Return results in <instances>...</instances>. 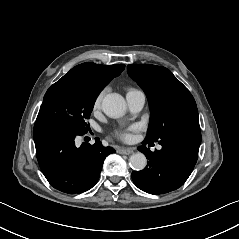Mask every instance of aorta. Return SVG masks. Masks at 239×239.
Returning a JSON list of instances; mask_svg holds the SVG:
<instances>
[{"instance_id":"762f6f07","label":"aorta","mask_w":239,"mask_h":239,"mask_svg":"<svg viewBox=\"0 0 239 239\" xmlns=\"http://www.w3.org/2000/svg\"><path fill=\"white\" fill-rule=\"evenodd\" d=\"M102 111L110 118H120L126 112V102L119 93H109L102 100ZM130 166L134 170H143L147 159L144 154L138 152L129 158Z\"/></svg>"}]
</instances>
